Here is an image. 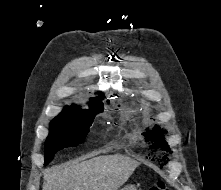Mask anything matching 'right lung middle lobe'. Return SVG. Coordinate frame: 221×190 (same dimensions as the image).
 <instances>
[{"instance_id": "obj_1", "label": "right lung middle lobe", "mask_w": 221, "mask_h": 190, "mask_svg": "<svg viewBox=\"0 0 221 190\" xmlns=\"http://www.w3.org/2000/svg\"><path fill=\"white\" fill-rule=\"evenodd\" d=\"M89 105L90 110H81L78 107L63 110L50 122L49 135L45 141V165L53 159L57 151L77 146L85 140L95 114L103 109L101 101Z\"/></svg>"}]
</instances>
